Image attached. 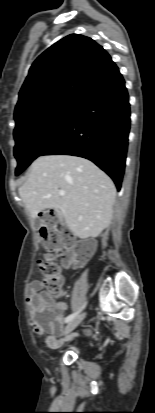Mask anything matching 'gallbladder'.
Instances as JSON below:
<instances>
[{
	"label": "gallbladder",
	"mask_w": 155,
	"mask_h": 413,
	"mask_svg": "<svg viewBox=\"0 0 155 413\" xmlns=\"http://www.w3.org/2000/svg\"><path fill=\"white\" fill-rule=\"evenodd\" d=\"M60 221H61V218H60ZM36 223H37V226H40L42 224L41 221H37Z\"/></svg>",
	"instance_id": "gallbladder-1"
}]
</instances>
